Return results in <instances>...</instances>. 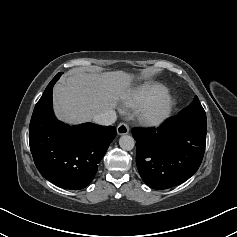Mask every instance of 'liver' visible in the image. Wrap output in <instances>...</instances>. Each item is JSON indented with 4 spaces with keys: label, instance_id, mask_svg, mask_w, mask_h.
Here are the masks:
<instances>
[{
    "label": "liver",
    "instance_id": "liver-1",
    "mask_svg": "<svg viewBox=\"0 0 237 237\" xmlns=\"http://www.w3.org/2000/svg\"><path fill=\"white\" fill-rule=\"evenodd\" d=\"M133 75L124 71L68 73L53 90L57 118L68 124L91 121L96 115L112 110L130 92Z\"/></svg>",
    "mask_w": 237,
    "mask_h": 237
}]
</instances>
